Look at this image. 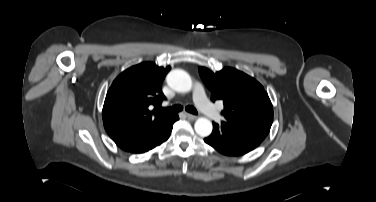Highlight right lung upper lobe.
Segmentation results:
<instances>
[{
  "label": "right lung upper lobe",
  "instance_id": "obj_1",
  "mask_svg": "<svg viewBox=\"0 0 376 202\" xmlns=\"http://www.w3.org/2000/svg\"><path fill=\"white\" fill-rule=\"evenodd\" d=\"M170 67L144 62L122 72L109 88L102 111L103 123L110 138L118 145L134 140L173 114L158 107L166 99L161 84Z\"/></svg>",
  "mask_w": 376,
  "mask_h": 202
}]
</instances>
